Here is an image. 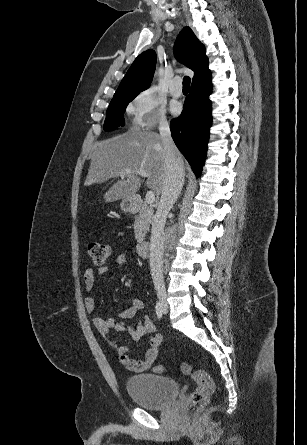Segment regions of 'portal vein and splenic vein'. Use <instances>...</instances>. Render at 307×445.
<instances>
[{
  "label": "portal vein and splenic vein",
  "instance_id": "18ae733b",
  "mask_svg": "<svg viewBox=\"0 0 307 445\" xmlns=\"http://www.w3.org/2000/svg\"><path fill=\"white\" fill-rule=\"evenodd\" d=\"M128 172H132L131 168H124L123 172H120L119 176H125V174H128ZM135 172H138V174H141V176H149L146 170H135ZM145 200L147 204H153V202H155V194L153 190H147Z\"/></svg>",
  "mask_w": 307,
  "mask_h": 445
}]
</instances>
